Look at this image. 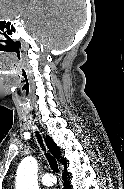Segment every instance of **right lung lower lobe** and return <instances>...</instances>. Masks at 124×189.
Instances as JSON below:
<instances>
[{
	"label": "right lung lower lobe",
	"mask_w": 124,
	"mask_h": 189,
	"mask_svg": "<svg viewBox=\"0 0 124 189\" xmlns=\"http://www.w3.org/2000/svg\"><path fill=\"white\" fill-rule=\"evenodd\" d=\"M68 176H69V174L66 171V166H65V169L63 172L64 189H70Z\"/></svg>",
	"instance_id": "right-lung-lower-lobe-1"
}]
</instances>
